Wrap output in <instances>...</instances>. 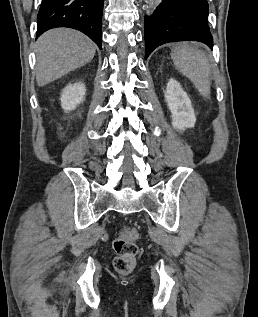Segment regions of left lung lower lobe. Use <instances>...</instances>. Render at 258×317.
<instances>
[{
    "mask_svg": "<svg viewBox=\"0 0 258 317\" xmlns=\"http://www.w3.org/2000/svg\"><path fill=\"white\" fill-rule=\"evenodd\" d=\"M207 0H162L151 17H145V59L158 46L177 41H199L213 48L207 24Z\"/></svg>",
    "mask_w": 258,
    "mask_h": 317,
    "instance_id": "1",
    "label": "left lung lower lobe"
}]
</instances>
